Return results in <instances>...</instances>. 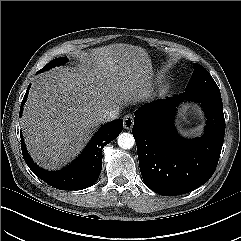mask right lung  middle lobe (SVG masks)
Returning a JSON list of instances; mask_svg holds the SVG:
<instances>
[{"mask_svg": "<svg viewBox=\"0 0 241 241\" xmlns=\"http://www.w3.org/2000/svg\"><path fill=\"white\" fill-rule=\"evenodd\" d=\"M68 62V58L67 57H60V58H56L54 60H52L51 62H49L44 68H42L41 72L43 71H46L52 67H55V66H59V65H62L64 63Z\"/></svg>", "mask_w": 241, "mask_h": 241, "instance_id": "dd1d6c3e", "label": "right lung middle lobe"}]
</instances>
